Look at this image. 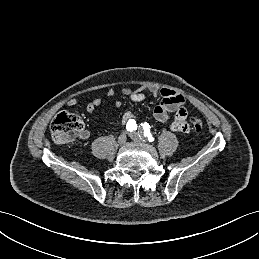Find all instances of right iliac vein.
Returning a JSON list of instances; mask_svg holds the SVG:
<instances>
[{
	"label": "right iliac vein",
	"mask_w": 259,
	"mask_h": 259,
	"mask_svg": "<svg viewBox=\"0 0 259 259\" xmlns=\"http://www.w3.org/2000/svg\"><path fill=\"white\" fill-rule=\"evenodd\" d=\"M127 140V134L125 132L121 133L117 139V142L119 145H122L126 142Z\"/></svg>",
	"instance_id": "63e3f726"
}]
</instances>
